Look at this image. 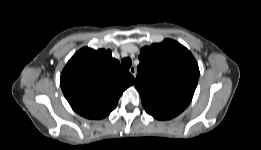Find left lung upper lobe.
<instances>
[{"label": "left lung upper lobe", "instance_id": "1", "mask_svg": "<svg viewBox=\"0 0 261 150\" xmlns=\"http://www.w3.org/2000/svg\"><path fill=\"white\" fill-rule=\"evenodd\" d=\"M135 87L147 113L163 119L180 114L191 102L199 79L198 64L178 42L165 39L140 51Z\"/></svg>", "mask_w": 261, "mask_h": 150}]
</instances>
